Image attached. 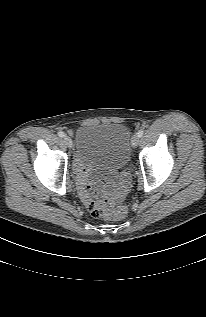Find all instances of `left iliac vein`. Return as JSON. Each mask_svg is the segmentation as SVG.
I'll use <instances>...</instances> for the list:
<instances>
[{
    "label": "left iliac vein",
    "mask_w": 206,
    "mask_h": 317,
    "mask_svg": "<svg viewBox=\"0 0 206 317\" xmlns=\"http://www.w3.org/2000/svg\"><path fill=\"white\" fill-rule=\"evenodd\" d=\"M139 141H140V137L138 136V134H135L131 140L132 147L134 148L137 147L139 144Z\"/></svg>",
    "instance_id": "left-iliac-vein-1"
}]
</instances>
